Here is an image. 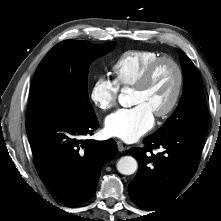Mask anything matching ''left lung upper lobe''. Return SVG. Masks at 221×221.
Segmentation results:
<instances>
[{
    "label": "left lung upper lobe",
    "mask_w": 221,
    "mask_h": 221,
    "mask_svg": "<svg viewBox=\"0 0 221 221\" xmlns=\"http://www.w3.org/2000/svg\"><path fill=\"white\" fill-rule=\"evenodd\" d=\"M179 54L185 76L184 92L175 112L152 135L189 133L206 137L208 111L201 74L184 52Z\"/></svg>",
    "instance_id": "1"
}]
</instances>
